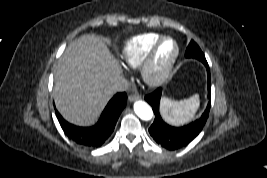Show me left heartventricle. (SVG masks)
<instances>
[{"label":"left heart ventricle","instance_id":"b2bd125f","mask_svg":"<svg viewBox=\"0 0 267 178\" xmlns=\"http://www.w3.org/2000/svg\"><path fill=\"white\" fill-rule=\"evenodd\" d=\"M175 52V45L172 41L167 40L165 41L156 56L154 65H153V70L155 72L160 71L172 58Z\"/></svg>","mask_w":267,"mask_h":178}]
</instances>
